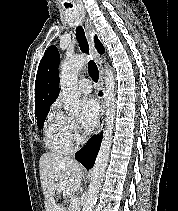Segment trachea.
Returning <instances> with one entry per match:
<instances>
[{"label":"trachea","mask_w":178,"mask_h":211,"mask_svg":"<svg viewBox=\"0 0 178 211\" xmlns=\"http://www.w3.org/2000/svg\"><path fill=\"white\" fill-rule=\"evenodd\" d=\"M76 38L79 43L80 50L83 53H86L89 55V46H88V42L86 40L85 32L82 26H78L76 28ZM88 69H89L92 80L94 82H97L99 78V71H98L97 65L95 64L93 60L89 61Z\"/></svg>","instance_id":"obj_1"}]
</instances>
